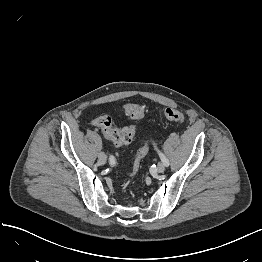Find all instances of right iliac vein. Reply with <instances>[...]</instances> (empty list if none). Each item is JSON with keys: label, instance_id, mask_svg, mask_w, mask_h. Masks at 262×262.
<instances>
[{"label": "right iliac vein", "instance_id": "63e3f726", "mask_svg": "<svg viewBox=\"0 0 262 262\" xmlns=\"http://www.w3.org/2000/svg\"><path fill=\"white\" fill-rule=\"evenodd\" d=\"M107 161V156L104 152H100L99 155H98V162L99 164L101 165H104Z\"/></svg>", "mask_w": 262, "mask_h": 262}]
</instances>
